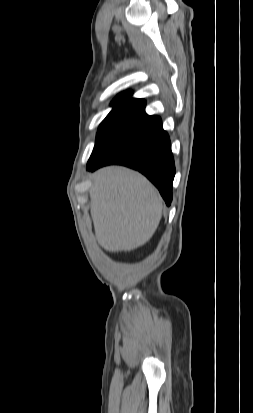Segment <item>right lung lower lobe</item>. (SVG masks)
I'll list each match as a JSON object with an SVG mask.
<instances>
[{"instance_id": "right-lung-lower-lobe-1", "label": "right lung lower lobe", "mask_w": 253, "mask_h": 413, "mask_svg": "<svg viewBox=\"0 0 253 413\" xmlns=\"http://www.w3.org/2000/svg\"><path fill=\"white\" fill-rule=\"evenodd\" d=\"M109 164L125 165L141 172L158 188L165 203L171 204L175 166L170 139L162 124L87 170Z\"/></svg>"}]
</instances>
